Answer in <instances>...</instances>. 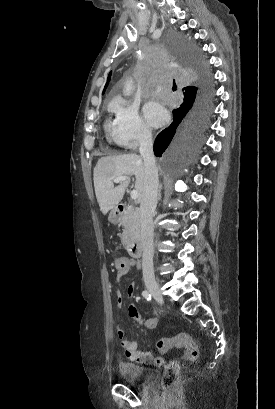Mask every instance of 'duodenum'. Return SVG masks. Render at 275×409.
Segmentation results:
<instances>
[{
    "instance_id": "obj_1",
    "label": "duodenum",
    "mask_w": 275,
    "mask_h": 409,
    "mask_svg": "<svg viewBox=\"0 0 275 409\" xmlns=\"http://www.w3.org/2000/svg\"><path fill=\"white\" fill-rule=\"evenodd\" d=\"M125 207L123 205H119L116 209V215H120L124 211ZM128 251L130 255L136 259L142 257L143 254V245L142 241L139 237L133 239L128 245Z\"/></svg>"
}]
</instances>
